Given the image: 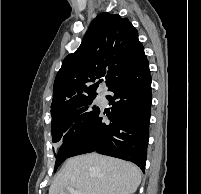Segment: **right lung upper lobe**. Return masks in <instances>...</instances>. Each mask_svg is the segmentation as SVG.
<instances>
[{
  "label": "right lung upper lobe",
  "instance_id": "right-lung-upper-lobe-1",
  "mask_svg": "<svg viewBox=\"0 0 201 194\" xmlns=\"http://www.w3.org/2000/svg\"><path fill=\"white\" fill-rule=\"evenodd\" d=\"M144 57L138 32L127 18L107 12L99 14L80 47L65 57L56 75L52 118L66 114L87 98L96 97L97 79L106 76L109 89Z\"/></svg>",
  "mask_w": 201,
  "mask_h": 194
}]
</instances>
